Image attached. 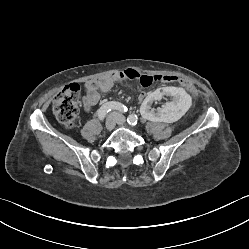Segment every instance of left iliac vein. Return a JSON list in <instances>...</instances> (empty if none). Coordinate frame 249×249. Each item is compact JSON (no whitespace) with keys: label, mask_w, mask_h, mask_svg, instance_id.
<instances>
[{"label":"left iliac vein","mask_w":249,"mask_h":249,"mask_svg":"<svg viewBox=\"0 0 249 249\" xmlns=\"http://www.w3.org/2000/svg\"><path fill=\"white\" fill-rule=\"evenodd\" d=\"M117 123L119 125H123L125 123V118L124 116L120 115V114H117Z\"/></svg>","instance_id":"4c4485c4"}]
</instances>
